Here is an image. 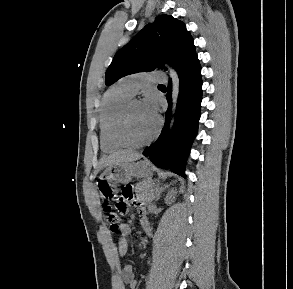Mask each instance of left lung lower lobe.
<instances>
[{"mask_svg": "<svg viewBox=\"0 0 293 289\" xmlns=\"http://www.w3.org/2000/svg\"><path fill=\"white\" fill-rule=\"evenodd\" d=\"M180 90L173 129L168 133L171 117V80L168 84L165 126L157 141L143 151V155L160 168L171 169L185 176L186 158L197 134L202 100L201 66L197 55L179 71Z\"/></svg>", "mask_w": 293, "mask_h": 289, "instance_id": "1", "label": "left lung lower lobe"}]
</instances>
